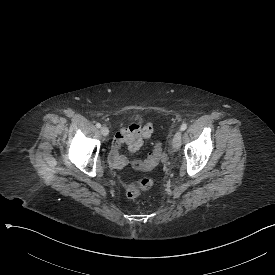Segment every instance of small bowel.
<instances>
[{"mask_svg":"<svg viewBox=\"0 0 275 275\" xmlns=\"http://www.w3.org/2000/svg\"><path fill=\"white\" fill-rule=\"evenodd\" d=\"M155 127L156 122L148 120L146 124L130 126L125 131L117 130L110 150V163L117 169L126 166L128 160L120 154L122 144L126 143L130 152H136L143 143L149 141Z\"/></svg>","mask_w":275,"mask_h":275,"instance_id":"small-bowel-1","label":"small bowel"}]
</instances>
